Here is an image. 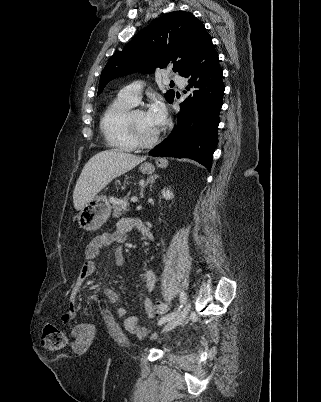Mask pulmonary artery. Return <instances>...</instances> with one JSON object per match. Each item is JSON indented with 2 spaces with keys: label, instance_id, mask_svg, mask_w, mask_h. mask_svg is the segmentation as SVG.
<instances>
[{
  "label": "pulmonary artery",
  "instance_id": "e3ab8cb5",
  "mask_svg": "<svg viewBox=\"0 0 321 402\" xmlns=\"http://www.w3.org/2000/svg\"><path fill=\"white\" fill-rule=\"evenodd\" d=\"M170 80L181 87H183L186 83L185 78L180 75H173ZM118 97L124 101L136 105L141 98V87L137 83L130 84L119 92Z\"/></svg>",
  "mask_w": 321,
  "mask_h": 402
}]
</instances>
